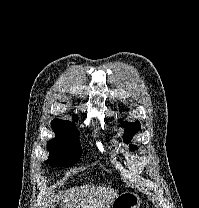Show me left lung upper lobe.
<instances>
[{"label":"left lung upper lobe","mask_w":199,"mask_h":208,"mask_svg":"<svg viewBox=\"0 0 199 208\" xmlns=\"http://www.w3.org/2000/svg\"><path fill=\"white\" fill-rule=\"evenodd\" d=\"M126 124V123H124ZM123 124V125H124ZM140 129V123L133 122V123H128L125 127V134H124V141L128 143L129 139ZM137 148L135 146H131V150H136Z\"/></svg>","instance_id":"1"}]
</instances>
